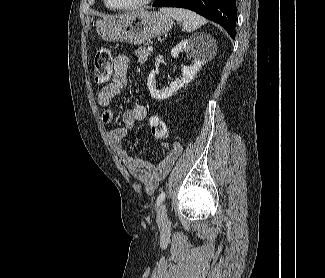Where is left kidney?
<instances>
[{"mask_svg": "<svg viewBox=\"0 0 325 278\" xmlns=\"http://www.w3.org/2000/svg\"><path fill=\"white\" fill-rule=\"evenodd\" d=\"M182 51L191 52L194 58V64L182 68V76L180 79L172 81L169 87L162 90L156 88V71L152 70L149 74L147 86L150 91L151 97L158 100H165L171 97L184 85L188 84L206 63L207 53L203 45V36H192L188 39L181 41L176 47L171 50V55L177 58Z\"/></svg>", "mask_w": 325, "mask_h": 278, "instance_id": "1", "label": "left kidney"}]
</instances>
